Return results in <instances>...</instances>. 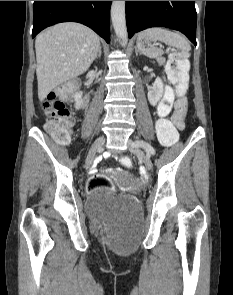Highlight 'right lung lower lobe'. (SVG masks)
Instances as JSON below:
<instances>
[{
  "instance_id": "98d812e1",
  "label": "right lung lower lobe",
  "mask_w": 233,
  "mask_h": 295,
  "mask_svg": "<svg viewBox=\"0 0 233 295\" xmlns=\"http://www.w3.org/2000/svg\"><path fill=\"white\" fill-rule=\"evenodd\" d=\"M112 1H34L32 37L44 28L66 21L82 23L110 41Z\"/></svg>"
}]
</instances>
